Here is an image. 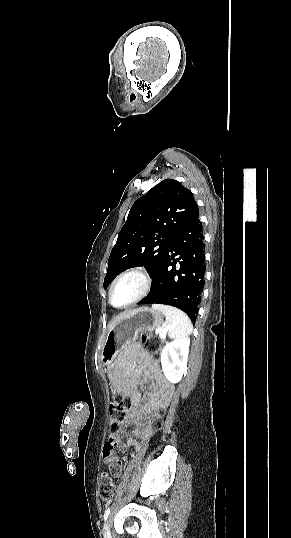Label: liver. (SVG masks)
Wrapping results in <instances>:
<instances>
[{
    "instance_id": "obj_1",
    "label": "liver",
    "mask_w": 291,
    "mask_h": 538,
    "mask_svg": "<svg viewBox=\"0 0 291 538\" xmlns=\"http://www.w3.org/2000/svg\"><path fill=\"white\" fill-rule=\"evenodd\" d=\"M131 311L129 312H124L120 315H118L116 318H114L109 324H108V331L113 328L117 322H119L121 319H123L127 314H129Z\"/></svg>"
}]
</instances>
